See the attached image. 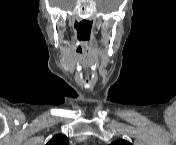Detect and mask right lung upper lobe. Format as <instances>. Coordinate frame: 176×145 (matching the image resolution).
I'll return each instance as SVG.
<instances>
[{
  "mask_svg": "<svg viewBox=\"0 0 176 145\" xmlns=\"http://www.w3.org/2000/svg\"><path fill=\"white\" fill-rule=\"evenodd\" d=\"M47 145H68V139L65 135L57 134L49 140Z\"/></svg>",
  "mask_w": 176,
  "mask_h": 145,
  "instance_id": "obj_1",
  "label": "right lung upper lobe"
}]
</instances>
